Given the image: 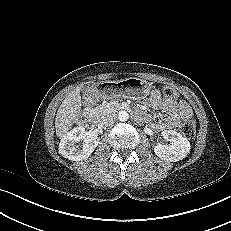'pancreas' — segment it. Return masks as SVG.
Instances as JSON below:
<instances>
[{"label":"pancreas","instance_id":"obj_1","mask_svg":"<svg viewBox=\"0 0 231 231\" xmlns=\"http://www.w3.org/2000/svg\"><path fill=\"white\" fill-rule=\"evenodd\" d=\"M121 108V105L116 102H104L98 106V111L100 115H104L106 113L116 112Z\"/></svg>","mask_w":231,"mask_h":231}]
</instances>
